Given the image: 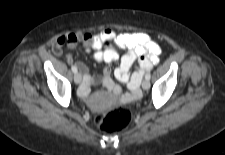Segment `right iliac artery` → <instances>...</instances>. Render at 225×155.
Segmentation results:
<instances>
[{"label": "right iliac artery", "mask_w": 225, "mask_h": 155, "mask_svg": "<svg viewBox=\"0 0 225 155\" xmlns=\"http://www.w3.org/2000/svg\"><path fill=\"white\" fill-rule=\"evenodd\" d=\"M71 69L74 73H77V68L75 66H72Z\"/></svg>", "instance_id": "1"}]
</instances>
